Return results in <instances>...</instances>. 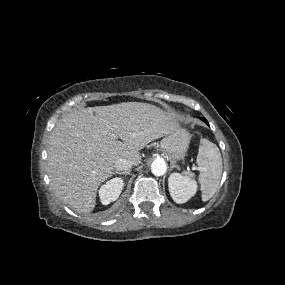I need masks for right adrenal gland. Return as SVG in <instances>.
Wrapping results in <instances>:
<instances>
[{"instance_id": "1", "label": "right adrenal gland", "mask_w": 285, "mask_h": 285, "mask_svg": "<svg viewBox=\"0 0 285 285\" xmlns=\"http://www.w3.org/2000/svg\"><path fill=\"white\" fill-rule=\"evenodd\" d=\"M130 170H127V171H123V172H121V171H115V172H113V174H119V175H128V174H130Z\"/></svg>"}]
</instances>
